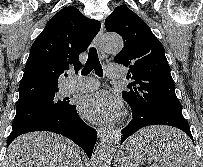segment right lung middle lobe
Masks as SVG:
<instances>
[{"label":"right lung middle lobe","instance_id":"dd1d6c3e","mask_svg":"<svg viewBox=\"0 0 203 167\" xmlns=\"http://www.w3.org/2000/svg\"><path fill=\"white\" fill-rule=\"evenodd\" d=\"M58 91L17 104L12 129H16L37 119L60 114L71 109L72 105L69 103L68 98L59 99L57 97L56 93Z\"/></svg>","mask_w":203,"mask_h":167}]
</instances>
